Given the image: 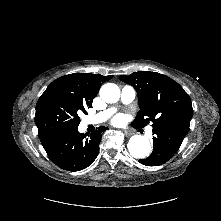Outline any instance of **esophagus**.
<instances>
[{"instance_id":"34e87169","label":"esophagus","mask_w":221,"mask_h":221,"mask_svg":"<svg viewBox=\"0 0 221 221\" xmlns=\"http://www.w3.org/2000/svg\"><path fill=\"white\" fill-rule=\"evenodd\" d=\"M122 132L125 134V136H131L132 133L130 131L122 130Z\"/></svg>"}]
</instances>
